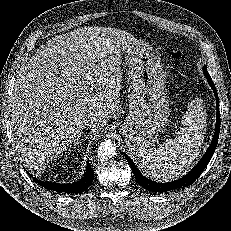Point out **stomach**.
Listing matches in <instances>:
<instances>
[{
	"instance_id": "1",
	"label": "stomach",
	"mask_w": 231,
	"mask_h": 231,
	"mask_svg": "<svg viewBox=\"0 0 231 231\" xmlns=\"http://www.w3.org/2000/svg\"><path fill=\"white\" fill-rule=\"evenodd\" d=\"M130 74L129 113L121 133L130 150L139 152L152 146L166 126L169 100L165 94V73L157 51L144 43L126 49Z\"/></svg>"
}]
</instances>
